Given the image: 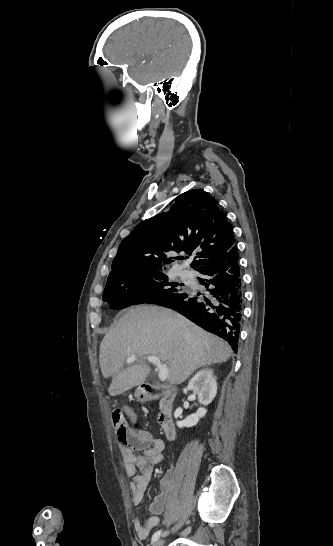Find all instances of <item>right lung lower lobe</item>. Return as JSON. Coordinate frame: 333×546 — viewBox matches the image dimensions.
<instances>
[{
  "label": "right lung lower lobe",
  "mask_w": 333,
  "mask_h": 546,
  "mask_svg": "<svg viewBox=\"0 0 333 546\" xmlns=\"http://www.w3.org/2000/svg\"><path fill=\"white\" fill-rule=\"evenodd\" d=\"M199 282L208 288L206 297L182 292L156 304L178 311L203 329L226 340L237 353L242 319L243 291L237 248L199 270Z\"/></svg>",
  "instance_id": "right-lung-lower-lobe-1"
}]
</instances>
